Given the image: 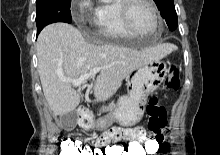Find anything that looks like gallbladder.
<instances>
[{"label": "gallbladder", "mask_w": 220, "mask_h": 155, "mask_svg": "<svg viewBox=\"0 0 220 155\" xmlns=\"http://www.w3.org/2000/svg\"><path fill=\"white\" fill-rule=\"evenodd\" d=\"M62 123H63L64 128L68 130L74 129L77 124V112L74 110L64 115L62 117Z\"/></svg>", "instance_id": "gallbladder-1"}]
</instances>
